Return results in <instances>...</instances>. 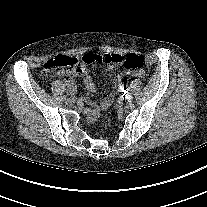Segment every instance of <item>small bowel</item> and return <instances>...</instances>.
I'll return each mask as SVG.
<instances>
[{"instance_id":"obj_1","label":"small bowel","mask_w":207,"mask_h":207,"mask_svg":"<svg viewBox=\"0 0 207 207\" xmlns=\"http://www.w3.org/2000/svg\"><path fill=\"white\" fill-rule=\"evenodd\" d=\"M108 69L113 70V66L112 65L108 66ZM76 75L84 76V84L89 92H91V93L96 92L95 81H94L93 77L87 73V70L84 66H82L76 72ZM125 75H132L136 78H140L143 76V72L142 71H134V72L126 71V72L117 73L115 76V80L117 82L116 91L104 95L101 98L99 105H93V107L86 112V117L89 122L95 121L100 116V114L102 112L107 111L109 109V107L111 106V104L113 102L114 96L116 95L117 92H123L124 90H126V87L123 84V79H124ZM60 76L67 77V74L60 73ZM70 89L73 91L74 86L70 85Z\"/></svg>"}]
</instances>
